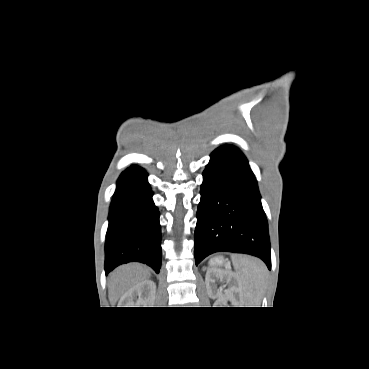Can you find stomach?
<instances>
[{
  "mask_svg": "<svg viewBox=\"0 0 369 369\" xmlns=\"http://www.w3.org/2000/svg\"><path fill=\"white\" fill-rule=\"evenodd\" d=\"M221 262H222L221 258L215 259V263L221 264Z\"/></svg>",
  "mask_w": 369,
  "mask_h": 369,
  "instance_id": "obj_1",
  "label": "stomach"
}]
</instances>
